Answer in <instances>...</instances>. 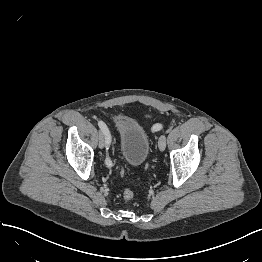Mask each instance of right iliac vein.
<instances>
[{
  "mask_svg": "<svg viewBox=\"0 0 262 262\" xmlns=\"http://www.w3.org/2000/svg\"><path fill=\"white\" fill-rule=\"evenodd\" d=\"M105 142H106L105 134L102 131H100V133H99V143H98L100 149L104 148Z\"/></svg>",
  "mask_w": 262,
  "mask_h": 262,
  "instance_id": "63e3f726",
  "label": "right iliac vein"
}]
</instances>
